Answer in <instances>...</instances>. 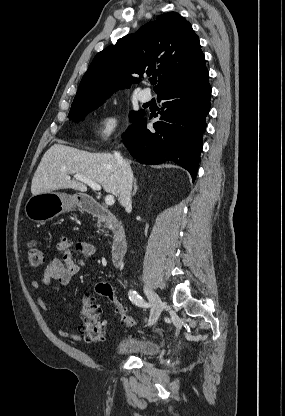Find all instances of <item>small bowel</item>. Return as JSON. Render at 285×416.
<instances>
[{
	"instance_id": "small-bowel-1",
	"label": "small bowel",
	"mask_w": 285,
	"mask_h": 416,
	"mask_svg": "<svg viewBox=\"0 0 285 416\" xmlns=\"http://www.w3.org/2000/svg\"><path fill=\"white\" fill-rule=\"evenodd\" d=\"M56 247L57 250L62 253V259H52L46 266L41 280L32 282L33 288L39 289L41 286H49L53 283H57L61 286L69 285L81 268V262L75 261L72 256L73 249L85 256H91L95 252L93 245L86 242L74 244L66 237H62L58 241ZM37 302L40 308L50 313L49 306L44 298L39 297ZM58 333L61 337L72 341H80L82 339L79 334L67 331L63 328H59Z\"/></svg>"
}]
</instances>
